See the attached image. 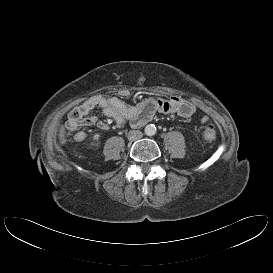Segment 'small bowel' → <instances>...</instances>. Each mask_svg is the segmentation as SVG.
<instances>
[{"label":"small bowel","instance_id":"obj_1","mask_svg":"<svg viewBox=\"0 0 273 273\" xmlns=\"http://www.w3.org/2000/svg\"><path fill=\"white\" fill-rule=\"evenodd\" d=\"M97 107L117 124L123 125L128 122L133 127L144 125L155 113H176L182 118H189L196 111L193 103L178 96L168 100L149 98L136 105H129L117 97L98 95L83 102L69 113L67 127L74 132L76 141H83L86 138V128L96 126L103 130L108 129L107 122L100 121L91 114ZM207 120L208 118L204 117L202 122Z\"/></svg>","mask_w":273,"mask_h":273}]
</instances>
